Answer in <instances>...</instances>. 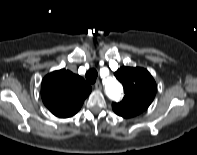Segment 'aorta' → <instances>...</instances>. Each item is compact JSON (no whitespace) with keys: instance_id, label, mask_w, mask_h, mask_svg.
I'll return each instance as SVG.
<instances>
[{"instance_id":"aorta-1","label":"aorta","mask_w":197,"mask_h":155,"mask_svg":"<svg viewBox=\"0 0 197 155\" xmlns=\"http://www.w3.org/2000/svg\"><path fill=\"white\" fill-rule=\"evenodd\" d=\"M106 93L110 98L118 100L122 93V87L120 83L114 77H107L105 79Z\"/></svg>"}]
</instances>
